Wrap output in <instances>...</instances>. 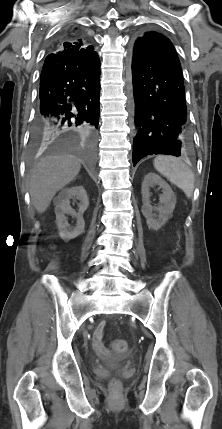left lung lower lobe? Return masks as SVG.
I'll use <instances>...</instances> for the list:
<instances>
[{
    "label": "left lung lower lobe",
    "mask_w": 222,
    "mask_h": 429,
    "mask_svg": "<svg viewBox=\"0 0 222 429\" xmlns=\"http://www.w3.org/2000/svg\"><path fill=\"white\" fill-rule=\"evenodd\" d=\"M133 83V166L152 154L181 156L190 148L185 89L176 51L163 35L135 41Z\"/></svg>",
    "instance_id": "left-lung-lower-lobe-1"
}]
</instances>
